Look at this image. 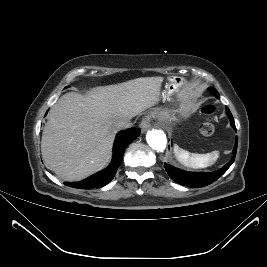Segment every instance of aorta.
I'll list each match as a JSON object with an SVG mask.
<instances>
[{
    "label": "aorta",
    "instance_id": "aorta-1",
    "mask_svg": "<svg viewBox=\"0 0 267 267\" xmlns=\"http://www.w3.org/2000/svg\"><path fill=\"white\" fill-rule=\"evenodd\" d=\"M146 140L149 146L157 151L162 152L166 148V135L161 130H150L147 132Z\"/></svg>",
    "mask_w": 267,
    "mask_h": 267
}]
</instances>
